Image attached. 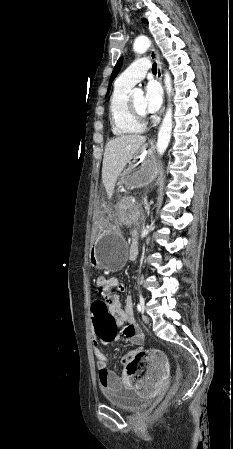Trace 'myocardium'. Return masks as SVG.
Here are the masks:
<instances>
[{
  "mask_svg": "<svg viewBox=\"0 0 233 449\" xmlns=\"http://www.w3.org/2000/svg\"><path fill=\"white\" fill-rule=\"evenodd\" d=\"M127 106H128V110L130 112V114L132 115V117L137 120L138 122L141 123H145L147 120V114L146 112H141L137 109V107L135 106L132 96L128 97V102H127Z\"/></svg>",
  "mask_w": 233,
  "mask_h": 449,
  "instance_id": "myocardium-1",
  "label": "myocardium"
}]
</instances>
